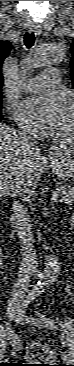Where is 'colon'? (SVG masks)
Returning <instances> with one entry per match:
<instances>
[{
    "instance_id": "1",
    "label": "colon",
    "mask_w": 74,
    "mask_h": 366,
    "mask_svg": "<svg viewBox=\"0 0 74 366\" xmlns=\"http://www.w3.org/2000/svg\"><path fill=\"white\" fill-rule=\"evenodd\" d=\"M27 358H29L30 360H46L48 357L46 356L45 351L40 348H33L31 350H29V352L27 353ZM30 366H50V364L48 363H40V364H29Z\"/></svg>"
}]
</instances>
